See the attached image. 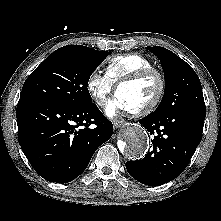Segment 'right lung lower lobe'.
<instances>
[{
  "label": "right lung lower lobe",
  "mask_w": 221,
  "mask_h": 221,
  "mask_svg": "<svg viewBox=\"0 0 221 221\" xmlns=\"http://www.w3.org/2000/svg\"><path fill=\"white\" fill-rule=\"evenodd\" d=\"M16 117L24 154L36 172L50 182L67 183L78 177L96 149L113 134L112 123L94 103L71 107L20 99Z\"/></svg>",
  "instance_id": "obj_1"
}]
</instances>
